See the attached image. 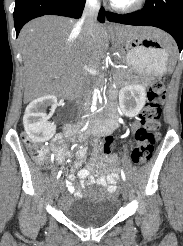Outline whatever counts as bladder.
<instances>
[{"instance_id":"31cf9c89","label":"bladder","mask_w":183,"mask_h":246,"mask_svg":"<svg viewBox=\"0 0 183 246\" xmlns=\"http://www.w3.org/2000/svg\"><path fill=\"white\" fill-rule=\"evenodd\" d=\"M119 209L118 199L101 186L68 201L62 207L64 215L75 225L94 228L110 222Z\"/></svg>"}]
</instances>
